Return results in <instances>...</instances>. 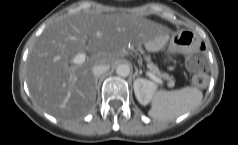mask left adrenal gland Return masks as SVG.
I'll list each match as a JSON object with an SVG mask.
<instances>
[{
  "label": "left adrenal gland",
  "mask_w": 238,
  "mask_h": 145,
  "mask_svg": "<svg viewBox=\"0 0 238 145\" xmlns=\"http://www.w3.org/2000/svg\"><path fill=\"white\" fill-rule=\"evenodd\" d=\"M138 75H139V71H138V69H137V68H135L134 77H135V76H138Z\"/></svg>",
  "instance_id": "a2214340"
}]
</instances>
